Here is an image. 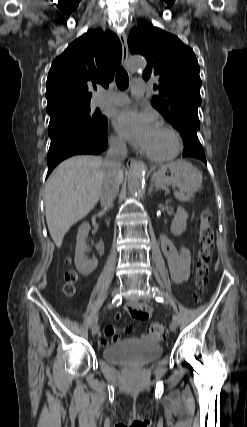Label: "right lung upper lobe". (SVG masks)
<instances>
[{
	"label": "right lung upper lobe",
	"mask_w": 247,
	"mask_h": 427,
	"mask_svg": "<svg viewBox=\"0 0 247 427\" xmlns=\"http://www.w3.org/2000/svg\"><path fill=\"white\" fill-rule=\"evenodd\" d=\"M122 47L110 32L89 30L57 57L46 82L47 112L88 105L91 91L108 87L120 63Z\"/></svg>",
	"instance_id": "right-lung-upper-lobe-1"
}]
</instances>
